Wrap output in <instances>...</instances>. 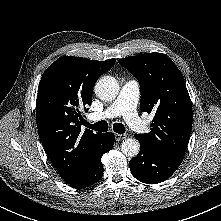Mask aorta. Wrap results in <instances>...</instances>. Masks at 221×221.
Returning a JSON list of instances; mask_svg holds the SVG:
<instances>
[{"label": "aorta", "mask_w": 221, "mask_h": 221, "mask_svg": "<svg viewBox=\"0 0 221 221\" xmlns=\"http://www.w3.org/2000/svg\"><path fill=\"white\" fill-rule=\"evenodd\" d=\"M96 96L102 101H112L119 93V84L112 76H104L95 84ZM122 152L128 157H135L140 151V144L135 138H127L121 144Z\"/></svg>", "instance_id": "1"}]
</instances>
